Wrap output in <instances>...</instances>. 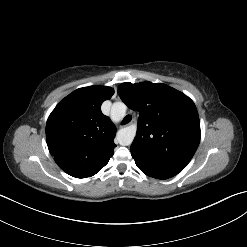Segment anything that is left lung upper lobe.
Segmentation results:
<instances>
[{"label": "left lung upper lobe", "instance_id": "5c2ea615", "mask_svg": "<svg viewBox=\"0 0 247 247\" xmlns=\"http://www.w3.org/2000/svg\"><path fill=\"white\" fill-rule=\"evenodd\" d=\"M121 100L139 112L136 137L130 151L161 167L181 172L200 142V122L194 102L165 84L122 83Z\"/></svg>", "mask_w": 247, "mask_h": 247}]
</instances>
